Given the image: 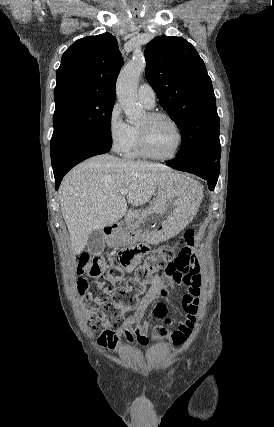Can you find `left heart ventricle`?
I'll return each mask as SVG.
<instances>
[{"label": "left heart ventricle", "mask_w": 274, "mask_h": 427, "mask_svg": "<svg viewBox=\"0 0 274 427\" xmlns=\"http://www.w3.org/2000/svg\"><path fill=\"white\" fill-rule=\"evenodd\" d=\"M144 129L148 150L157 156H168L173 153L177 144V135L173 126L164 119L152 122L146 114L137 125Z\"/></svg>", "instance_id": "1"}]
</instances>
